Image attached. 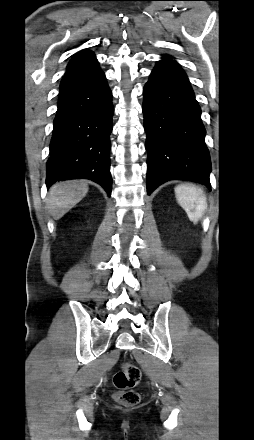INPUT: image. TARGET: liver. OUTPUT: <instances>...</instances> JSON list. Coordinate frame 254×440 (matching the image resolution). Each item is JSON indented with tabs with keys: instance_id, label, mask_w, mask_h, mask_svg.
Here are the masks:
<instances>
[{
	"instance_id": "liver-1",
	"label": "liver",
	"mask_w": 254,
	"mask_h": 440,
	"mask_svg": "<svg viewBox=\"0 0 254 440\" xmlns=\"http://www.w3.org/2000/svg\"><path fill=\"white\" fill-rule=\"evenodd\" d=\"M88 185L82 180H69L55 183L49 190L47 204L55 219L79 203L87 194Z\"/></svg>"
}]
</instances>
